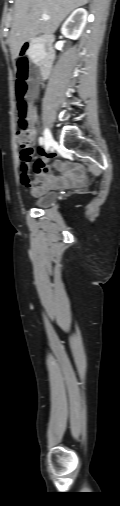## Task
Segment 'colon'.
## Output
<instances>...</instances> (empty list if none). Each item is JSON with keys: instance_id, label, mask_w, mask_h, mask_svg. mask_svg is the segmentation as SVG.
Segmentation results:
<instances>
[{"instance_id": "1", "label": "colon", "mask_w": 120, "mask_h": 506, "mask_svg": "<svg viewBox=\"0 0 120 506\" xmlns=\"http://www.w3.org/2000/svg\"><path fill=\"white\" fill-rule=\"evenodd\" d=\"M19 51L15 52V57L18 62V71H17V83H16V96H17V108H18V124L20 126V130L16 134V142L20 146V166L21 170L25 172L27 170L28 163L32 159L33 155V147L32 143L34 141V137L32 134V120L29 111V104L26 99L29 93V84L27 83V79L30 74L29 55L26 58H21L19 56Z\"/></svg>"}]
</instances>
